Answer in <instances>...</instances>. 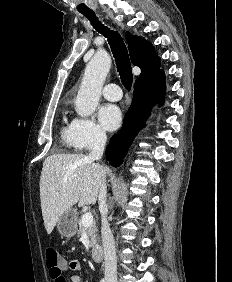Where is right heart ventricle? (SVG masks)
<instances>
[{
    "mask_svg": "<svg viewBox=\"0 0 232 282\" xmlns=\"http://www.w3.org/2000/svg\"><path fill=\"white\" fill-rule=\"evenodd\" d=\"M65 116H66V111L64 112V117L60 128L61 142L63 146L66 148H75L72 139V133H71L72 122L68 123Z\"/></svg>",
    "mask_w": 232,
    "mask_h": 282,
    "instance_id": "obj_1",
    "label": "right heart ventricle"
}]
</instances>
